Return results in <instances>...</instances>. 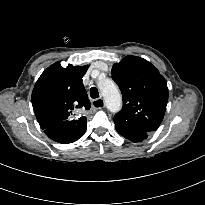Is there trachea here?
Listing matches in <instances>:
<instances>
[{
  "label": "trachea",
  "mask_w": 205,
  "mask_h": 205,
  "mask_svg": "<svg viewBox=\"0 0 205 205\" xmlns=\"http://www.w3.org/2000/svg\"><path fill=\"white\" fill-rule=\"evenodd\" d=\"M90 96H91V98H93V99H96V98L99 97V92H98V90H97L96 87H92V88L90 89Z\"/></svg>",
  "instance_id": "obj_1"
}]
</instances>
